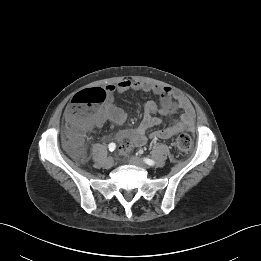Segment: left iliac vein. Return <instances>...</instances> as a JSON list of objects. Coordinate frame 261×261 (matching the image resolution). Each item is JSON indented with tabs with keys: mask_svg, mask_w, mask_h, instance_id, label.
Masks as SVG:
<instances>
[{
	"mask_svg": "<svg viewBox=\"0 0 261 261\" xmlns=\"http://www.w3.org/2000/svg\"><path fill=\"white\" fill-rule=\"evenodd\" d=\"M128 161H129L130 164L135 165V166L140 167V168H143L145 170H147L149 168L145 164V162L142 159L138 158V157L131 156V157H129Z\"/></svg>",
	"mask_w": 261,
	"mask_h": 261,
	"instance_id": "left-iliac-vein-1",
	"label": "left iliac vein"
}]
</instances>
